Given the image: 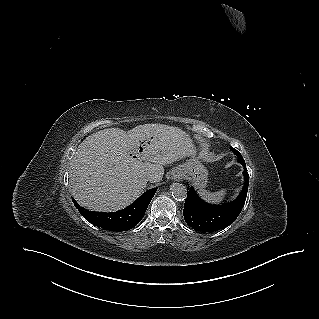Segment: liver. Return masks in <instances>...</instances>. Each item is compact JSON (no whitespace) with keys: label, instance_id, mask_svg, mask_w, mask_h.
Listing matches in <instances>:
<instances>
[{"label":"liver","instance_id":"6515ba94","mask_svg":"<svg viewBox=\"0 0 319 319\" xmlns=\"http://www.w3.org/2000/svg\"><path fill=\"white\" fill-rule=\"evenodd\" d=\"M142 148L139 158L129 152ZM190 136L178 127L144 124L125 132L108 128L89 135L71 161V191L90 210L111 212L131 204L147 185L163 178V165L195 155Z\"/></svg>","mask_w":319,"mask_h":319}]
</instances>
